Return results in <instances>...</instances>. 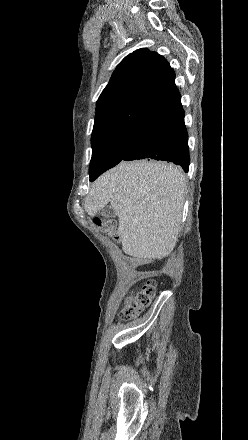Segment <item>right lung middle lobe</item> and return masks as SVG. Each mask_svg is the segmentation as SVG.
Segmentation results:
<instances>
[{
	"instance_id": "1",
	"label": "right lung middle lobe",
	"mask_w": 248,
	"mask_h": 440,
	"mask_svg": "<svg viewBox=\"0 0 248 440\" xmlns=\"http://www.w3.org/2000/svg\"><path fill=\"white\" fill-rule=\"evenodd\" d=\"M129 131L117 132L92 146V158L89 167L90 181L117 165L126 150Z\"/></svg>"
}]
</instances>
